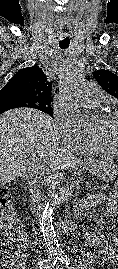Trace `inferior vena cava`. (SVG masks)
I'll use <instances>...</instances> for the list:
<instances>
[{"mask_svg": "<svg viewBox=\"0 0 118 269\" xmlns=\"http://www.w3.org/2000/svg\"><path fill=\"white\" fill-rule=\"evenodd\" d=\"M49 177L46 173H42V185H47Z\"/></svg>", "mask_w": 118, "mask_h": 269, "instance_id": "602c4592", "label": "inferior vena cava"}]
</instances>
